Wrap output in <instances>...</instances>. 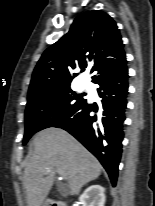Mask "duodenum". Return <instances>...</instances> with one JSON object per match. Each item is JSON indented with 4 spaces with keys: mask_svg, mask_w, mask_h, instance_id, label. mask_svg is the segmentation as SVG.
<instances>
[{
    "mask_svg": "<svg viewBox=\"0 0 155 206\" xmlns=\"http://www.w3.org/2000/svg\"><path fill=\"white\" fill-rule=\"evenodd\" d=\"M48 206H67V205L59 200H51L49 201Z\"/></svg>",
    "mask_w": 155,
    "mask_h": 206,
    "instance_id": "410a0bca",
    "label": "duodenum"
}]
</instances>
